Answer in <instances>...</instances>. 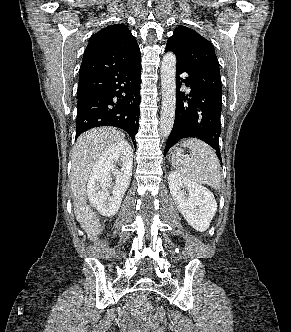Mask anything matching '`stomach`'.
Returning a JSON list of instances; mask_svg holds the SVG:
<instances>
[{"label":"stomach","mask_w":291,"mask_h":332,"mask_svg":"<svg viewBox=\"0 0 291 332\" xmlns=\"http://www.w3.org/2000/svg\"><path fill=\"white\" fill-rule=\"evenodd\" d=\"M177 151H179L180 154H183L181 149H175L174 152L172 153V156L176 155Z\"/></svg>","instance_id":"stomach-1"}]
</instances>
